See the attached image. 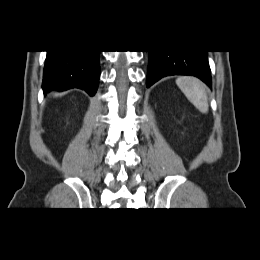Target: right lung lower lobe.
<instances>
[{
  "label": "right lung lower lobe",
  "instance_id": "98d812e1",
  "mask_svg": "<svg viewBox=\"0 0 260 260\" xmlns=\"http://www.w3.org/2000/svg\"><path fill=\"white\" fill-rule=\"evenodd\" d=\"M99 53L100 51H47L42 84L44 93L52 89L64 91L80 88L93 96L100 77Z\"/></svg>",
  "mask_w": 260,
  "mask_h": 260
}]
</instances>
